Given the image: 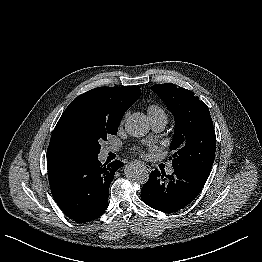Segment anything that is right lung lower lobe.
Masks as SVG:
<instances>
[{
	"label": "right lung lower lobe",
	"mask_w": 262,
	"mask_h": 262,
	"mask_svg": "<svg viewBox=\"0 0 262 262\" xmlns=\"http://www.w3.org/2000/svg\"><path fill=\"white\" fill-rule=\"evenodd\" d=\"M121 161L101 164L90 157H48L47 169L54 200L70 219L92 221L108 207L109 186Z\"/></svg>",
	"instance_id": "obj_1"
}]
</instances>
